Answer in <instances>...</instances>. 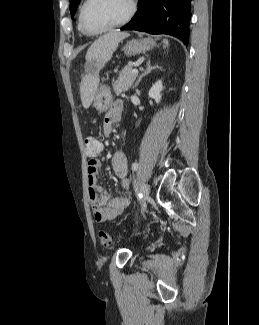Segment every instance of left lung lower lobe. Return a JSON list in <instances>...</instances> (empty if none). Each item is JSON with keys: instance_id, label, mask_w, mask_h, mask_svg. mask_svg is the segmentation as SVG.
<instances>
[{"instance_id": "1", "label": "left lung lower lobe", "mask_w": 259, "mask_h": 325, "mask_svg": "<svg viewBox=\"0 0 259 325\" xmlns=\"http://www.w3.org/2000/svg\"><path fill=\"white\" fill-rule=\"evenodd\" d=\"M191 0H138V10L121 30L168 34L189 42Z\"/></svg>"}]
</instances>
